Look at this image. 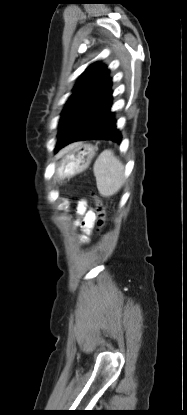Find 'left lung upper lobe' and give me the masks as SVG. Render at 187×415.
<instances>
[{
  "mask_svg": "<svg viewBox=\"0 0 187 415\" xmlns=\"http://www.w3.org/2000/svg\"><path fill=\"white\" fill-rule=\"evenodd\" d=\"M105 66L101 65L99 62L94 63L87 67V69L81 74L79 80L77 81L74 89L73 94L68 99L66 106L62 112V117L59 123V133H58V147L59 143L61 142L64 133L72 124L73 120L77 116L81 106L88 95L91 87L96 82V80L100 77V75L105 70Z\"/></svg>",
  "mask_w": 187,
  "mask_h": 415,
  "instance_id": "left-lung-upper-lobe-1",
  "label": "left lung upper lobe"
}]
</instances>
